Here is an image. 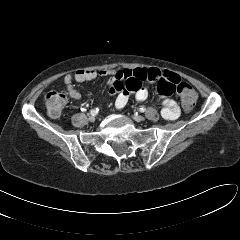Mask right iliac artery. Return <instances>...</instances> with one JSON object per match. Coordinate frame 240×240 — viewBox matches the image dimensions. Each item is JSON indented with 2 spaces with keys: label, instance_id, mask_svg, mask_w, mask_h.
<instances>
[{
  "label": "right iliac artery",
  "instance_id": "1",
  "mask_svg": "<svg viewBox=\"0 0 240 240\" xmlns=\"http://www.w3.org/2000/svg\"><path fill=\"white\" fill-rule=\"evenodd\" d=\"M99 109L98 108H95V109H92L91 110V114L92 115H96L98 113Z\"/></svg>",
  "mask_w": 240,
  "mask_h": 240
}]
</instances>
